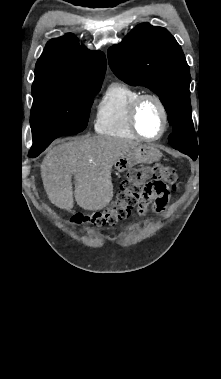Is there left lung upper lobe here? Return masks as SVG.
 <instances>
[{
    "mask_svg": "<svg viewBox=\"0 0 221 379\" xmlns=\"http://www.w3.org/2000/svg\"><path fill=\"white\" fill-rule=\"evenodd\" d=\"M108 61L121 80L145 86L159 96L173 126L170 145L195 160L198 143L191 116V77L175 38L165 28L140 24L108 49Z\"/></svg>",
    "mask_w": 221,
    "mask_h": 379,
    "instance_id": "left-lung-upper-lobe-1",
    "label": "left lung upper lobe"
}]
</instances>
